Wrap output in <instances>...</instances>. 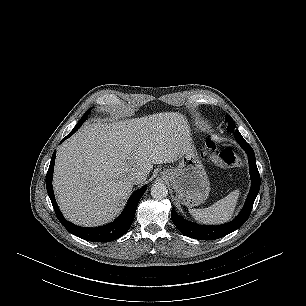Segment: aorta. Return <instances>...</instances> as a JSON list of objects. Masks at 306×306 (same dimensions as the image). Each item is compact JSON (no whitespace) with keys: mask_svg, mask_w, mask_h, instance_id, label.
Listing matches in <instances>:
<instances>
[{"mask_svg":"<svg viewBox=\"0 0 306 306\" xmlns=\"http://www.w3.org/2000/svg\"><path fill=\"white\" fill-rule=\"evenodd\" d=\"M167 194H168V189L166 185L163 183L156 182L151 187V195L155 199L162 200L166 198Z\"/></svg>","mask_w":306,"mask_h":306,"instance_id":"762f6f07","label":"aorta"}]
</instances>
